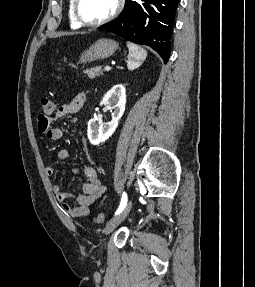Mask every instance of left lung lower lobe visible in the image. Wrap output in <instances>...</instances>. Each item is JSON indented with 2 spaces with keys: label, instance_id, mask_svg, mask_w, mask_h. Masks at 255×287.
Segmentation results:
<instances>
[{
  "label": "left lung lower lobe",
  "instance_id": "0a47b994",
  "mask_svg": "<svg viewBox=\"0 0 255 287\" xmlns=\"http://www.w3.org/2000/svg\"><path fill=\"white\" fill-rule=\"evenodd\" d=\"M180 0H127L121 15L99 30L115 33L137 44L148 45L166 63L170 56L173 21Z\"/></svg>",
  "mask_w": 255,
  "mask_h": 287
}]
</instances>
